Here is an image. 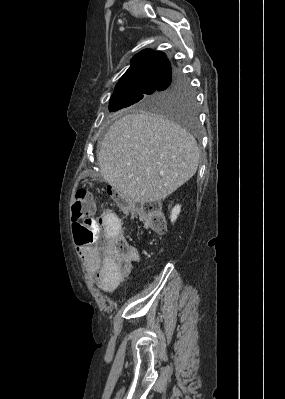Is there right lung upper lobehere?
I'll return each instance as SVG.
<instances>
[{"label":"right lung upper lobe","instance_id":"obj_1","mask_svg":"<svg viewBox=\"0 0 285 399\" xmlns=\"http://www.w3.org/2000/svg\"><path fill=\"white\" fill-rule=\"evenodd\" d=\"M130 68L118 81L114 94L158 88L171 64L161 51L145 49L131 60Z\"/></svg>","mask_w":285,"mask_h":399}]
</instances>
